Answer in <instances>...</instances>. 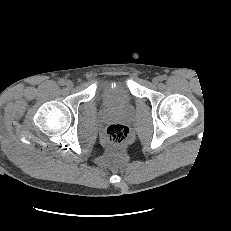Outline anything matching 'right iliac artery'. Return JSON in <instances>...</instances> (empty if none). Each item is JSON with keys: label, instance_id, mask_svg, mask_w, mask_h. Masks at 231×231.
Listing matches in <instances>:
<instances>
[{"label": "right iliac artery", "instance_id": "82829eb1", "mask_svg": "<svg viewBox=\"0 0 231 231\" xmlns=\"http://www.w3.org/2000/svg\"><path fill=\"white\" fill-rule=\"evenodd\" d=\"M59 84L61 86H64L66 84V81L64 79H60Z\"/></svg>", "mask_w": 231, "mask_h": 231}]
</instances>
